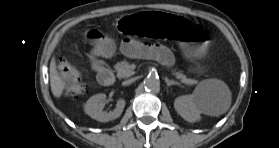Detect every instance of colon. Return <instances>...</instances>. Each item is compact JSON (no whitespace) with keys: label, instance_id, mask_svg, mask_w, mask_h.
Instances as JSON below:
<instances>
[{"label":"colon","instance_id":"obj_1","mask_svg":"<svg viewBox=\"0 0 279 148\" xmlns=\"http://www.w3.org/2000/svg\"><path fill=\"white\" fill-rule=\"evenodd\" d=\"M58 70L66 80L64 88L66 96L76 99L87 93V86L80 81L77 73L69 67L65 59H60Z\"/></svg>","mask_w":279,"mask_h":148}]
</instances>
